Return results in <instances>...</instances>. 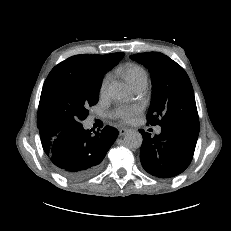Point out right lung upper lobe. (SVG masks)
Listing matches in <instances>:
<instances>
[{"instance_id":"cb5924a9","label":"right lung upper lobe","mask_w":231,"mask_h":231,"mask_svg":"<svg viewBox=\"0 0 231 231\" xmlns=\"http://www.w3.org/2000/svg\"><path fill=\"white\" fill-rule=\"evenodd\" d=\"M121 53H111L107 55H75L61 63L69 64L71 66H75L80 69H91V70H101L105 67H112L116 63H118V59Z\"/></svg>"}]
</instances>
